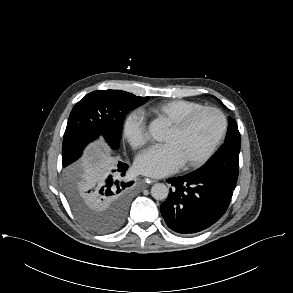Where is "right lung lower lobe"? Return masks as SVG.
Instances as JSON below:
<instances>
[{"label": "right lung lower lobe", "mask_w": 293, "mask_h": 293, "mask_svg": "<svg viewBox=\"0 0 293 293\" xmlns=\"http://www.w3.org/2000/svg\"><path fill=\"white\" fill-rule=\"evenodd\" d=\"M127 169L128 165L119 161L106 172L96 175L93 180L87 182L84 185L83 194L88 205L100 213L113 214L123 218L124 221L127 214L130 186L133 184V181L122 182L120 179V176L125 175Z\"/></svg>", "instance_id": "1"}]
</instances>
